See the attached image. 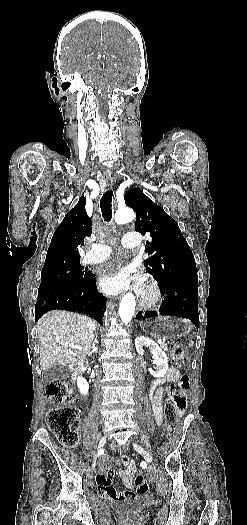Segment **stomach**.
I'll return each instance as SVG.
<instances>
[{"mask_svg":"<svg viewBox=\"0 0 247 525\" xmlns=\"http://www.w3.org/2000/svg\"><path fill=\"white\" fill-rule=\"evenodd\" d=\"M159 319V318H158ZM141 328L154 337H162L173 340L181 337L188 326L181 320L174 318L146 321L140 324Z\"/></svg>","mask_w":247,"mask_h":525,"instance_id":"stomach-1","label":"stomach"}]
</instances>
